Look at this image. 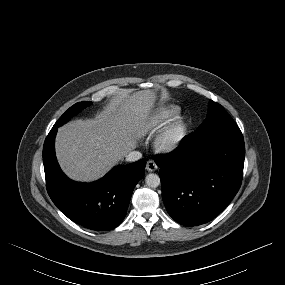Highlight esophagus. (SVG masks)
<instances>
[{"label":"esophagus","mask_w":285,"mask_h":285,"mask_svg":"<svg viewBox=\"0 0 285 285\" xmlns=\"http://www.w3.org/2000/svg\"><path fill=\"white\" fill-rule=\"evenodd\" d=\"M146 169L149 172H154L157 169V164L153 160L147 161Z\"/></svg>","instance_id":"34e87169"}]
</instances>
